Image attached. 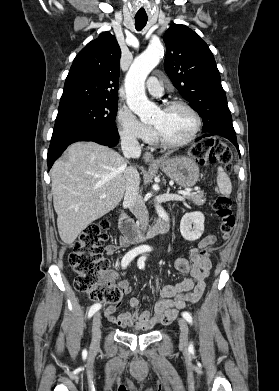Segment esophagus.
Returning <instances> with one entry per match:
<instances>
[{
  "instance_id": "esophagus-1",
  "label": "esophagus",
  "mask_w": 279,
  "mask_h": 391,
  "mask_svg": "<svg viewBox=\"0 0 279 391\" xmlns=\"http://www.w3.org/2000/svg\"><path fill=\"white\" fill-rule=\"evenodd\" d=\"M143 159L145 162H157L154 156L150 152H145L143 154Z\"/></svg>"
}]
</instances>
